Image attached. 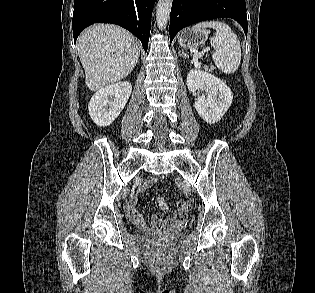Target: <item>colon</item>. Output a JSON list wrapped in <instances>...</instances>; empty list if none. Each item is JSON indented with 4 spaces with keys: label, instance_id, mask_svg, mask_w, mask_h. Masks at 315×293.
<instances>
[{
    "label": "colon",
    "instance_id": "obj_1",
    "mask_svg": "<svg viewBox=\"0 0 315 293\" xmlns=\"http://www.w3.org/2000/svg\"><path fill=\"white\" fill-rule=\"evenodd\" d=\"M177 205H178V211H185L186 213L189 210V203L187 201H184V200L178 201Z\"/></svg>",
    "mask_w": 315,
    "mask_h": 293
}]
</instances>
